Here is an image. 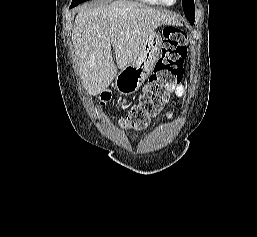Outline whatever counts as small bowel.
<instances>
[{
  "mask_svg": "<svg viewBox=\"0 0 257 237\" xmlns=\"http://www.w3.org/2000/svg\"><path fill=\"white\" fill-rule=\"evenodd\" d=\"M184 91H185L184 86H183V85H178V86L175 88L174 93H175V95H176L177 97H181V96L184 94ZM126 103H127V101H126V100H123V101L119 102V105H120V106H124ZM167 117H168V118H172V115H171L170 113H168V114H167Z\"/></svg>",
  "mask_w": 257,
  "mask_h": 237,
  "instance_id": "small-bowel-1",
  "label": "small bowel"
}]
</instances>
